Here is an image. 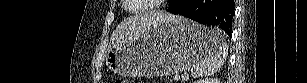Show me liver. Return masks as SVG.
Instances as JSON below:
<instances>
[{"label": "liver", "mask_w": 307, "mask_h": 83, "mask_svg": "<svg viewBox=\"0 0 307 83\" xmlns=\"http://www.w3.org/2000/svg\"><path fill=\"white\" fill-rule=\"evenodd\" d=\"M173 15L164 12H151L142 16L130 18L121 23L112 35V45H118L140 35L151 26L161 24Z\"/></svg>", "instance_id": "liver-1"}]
</instances>
